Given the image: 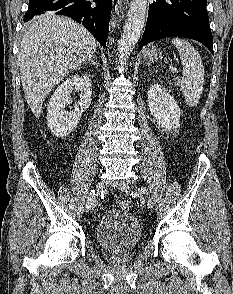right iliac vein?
Here are the masks:
<instances>
[{
	"instance_id": "obj_1",
	"label": "right iliac vein",
	"mask_w": 233,
	"mask_h": 294,
	"mask_svg": "<svg viewBox=\"0 0 233 294\" xmlns=\"http://www.w3.org/2000/svg\"><path fill=\"white\" fill-rule=\"evenodd\" d=\"M103 189H104V183L102 181H99L96 185V193L92 202V209H95L96 206L98 205L100 193L102 192Z\"/></svg>"
}]
</instances>
